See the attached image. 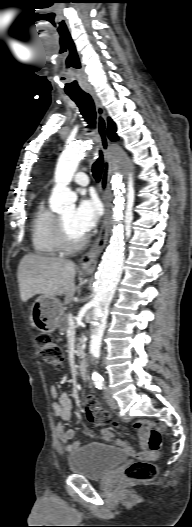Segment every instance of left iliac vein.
<instances>
[{
	"label": "left iliac vein",
	"instance_id": "left-iliac-vein-1",
	"mask_svg": "<svg viewBox=\"0 0 192 527\" xmlns=\"http://www.w3.org/2000/svg\"><path fill=\"white\" fill-rule=\"evenodd\" d=\"M106 398H107V402H108V405L110 406L111 409H117L118 408V403L117 401L111 396L110 393H106Z\"/></svg>",
	"mask_w": 192,
	"mask_h": 527
}]
</instances>
